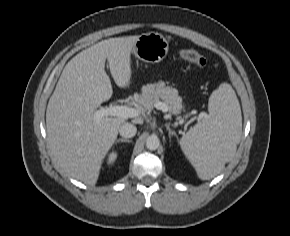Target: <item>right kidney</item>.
I'll return each mask as SVG.
<instances>
[{
  "instance_id": "ca27d5eb",
  "label": "right kidney",
  "mask_w": 290,
  "mask_h": 236,
  "mask_svg": "<svg viewBox=\"0 0 290 236\" xmlns=\"http://www.w3.org/2000/svg\"><path fill=\"white\" fill-rule=\"evenodd\" d=\"M117 156H118L117 152L113 151L112 153H110L108 156L107 163L112 164L117 159Z\"/></svg>"
}]
</instances>
